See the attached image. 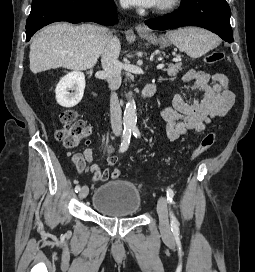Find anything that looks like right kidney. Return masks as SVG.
<instances>
[{
  "label": "right kidney",
  "instance_id": "ca27d5eb",
  "mask_svg": "<svg viewBox=\"0 0 255 272\" xmlns=\"http://www.w3.org/2000/svg\"><path fill=\"white\" fill-rule=\"evenodd\" d=\"M84 89V74L79 71L70 72L62 77L56 86V101L62 107H74L81 101ZM69 90H75V92L70 93Z\"/></svg>",
  "mask_w": 255,
  "mask_h": 272
}]
</instances>
